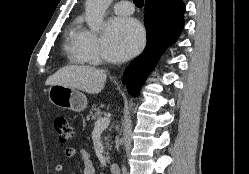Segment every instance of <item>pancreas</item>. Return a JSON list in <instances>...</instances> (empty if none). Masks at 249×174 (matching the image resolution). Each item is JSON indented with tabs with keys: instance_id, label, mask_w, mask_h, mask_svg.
Segmentation results:
<instances>
[{
	"instance_id": "obj_1",
	"label": "pancreas",
	"mask_w": 249,
	"mask_h": 174,
	"mask_svg": "<svg viewBox=\"0 0 249 174\" xmlns=\"http://www.w3.org/2000/svg\"><path fill=\"white\" fill-rule=\"evenodd\" d=\"M88 116L91 117L92 120L100 119L102 117V111L99 107H96V105H92V108ZM105 145L106 148L111 150V147L109 145V136L105 137ZM105 154H106L105 160L109 163L110 160L109 153L107 152Z\"/></svg>"
}]
</instances>
